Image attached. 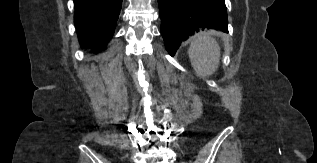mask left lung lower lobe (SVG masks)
<instances>
[{
  "label": "left lung lower lobe",
  "instance_id": "obj_1",
  "mask_svg": "<svg viewBox=\"0 0 317 163\" xmlns=\"http://www.w3.org/2000/svg\"><path fill=\"white\" fill-rule=\"evenodd\" d=\"M161 34L174 56L182 41L206 28L228 33L224 0H159Z\"/></svg>",
  "mask_w": 317,
  "mask_h": 163
}]
</instances>
